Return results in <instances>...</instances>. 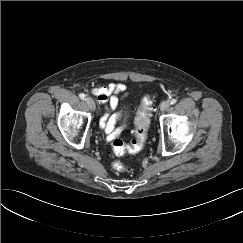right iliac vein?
Wrapping results in <instances>:
<instances>
[{
    "label": "right iliac vein",
    "mask_w": 243,
    "mask_h": 243,
    "mask_svg": "<svg viewBox=\"0 0 243 243\" xmlns=\"http://www.w3.org/2000/svg\"><path fill=\"white\" fill-rule=\"evenodd\" d=\"M86 103H87L90 110H92V111L95 110V102L91 97L86 98Z\"/></svg>",
    "instance_id": "obj_1"
}]
</instances>
